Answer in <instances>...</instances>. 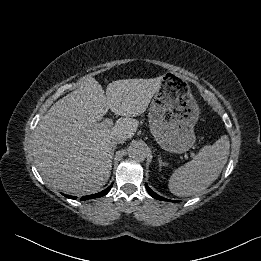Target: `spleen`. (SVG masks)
<instances>
[{"instance_id": "obj_1", "label": "spleen", "mask_w": 261, "mask_h": 261, "mask_svg": "<svg viewBox=\"0 0 261 261\" xmlns=\"http://www.w3.org/2000/svg\"><path fill=\"white\" fill-rule=\"evenodd\" d=\"M229 149L227 135L221 136L213 145L204 146L192 161L173 172L168 183L170 192L188 197L209 187L224 168Z\"/></svg>"}]
</instances>
